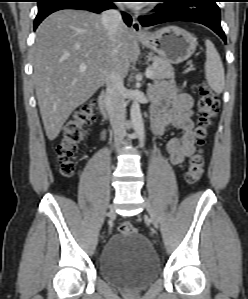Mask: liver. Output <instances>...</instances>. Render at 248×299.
Masks as SVG:
<instances>
[{"label": "liver", "instance_id": "1", "mask_svg": "<svg viewBox=\"0 0 248 299\" xmlns=\"http://www.w3.org/2000/svg\"><path fill=\"white\" fill-rule=\"evenodd\" d=\"M36 33V97L46 135L54 140L71 113L107 82L112 69L122 77L128 73L136 40L122 23L112 44L101 15L71 9L48 16ZM83 63L86 68L81 70Z\"/></svg>", "mask_w": 248, "mask_h": 299}]
</instances>
